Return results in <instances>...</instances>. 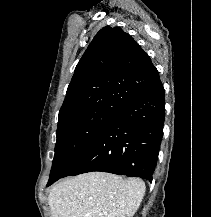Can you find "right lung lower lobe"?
I'll return each instance as SVG.
<instances>
[{
    "instance_id": "obj_1",
    "label": "right lung lower lobe",
    "mask_w": 211,
    "mask_h": 217,
    "mask_svg": "<svg viewBox=\"0 0 211 217\" xmlns=\"http://www.w3.org/2000/svg\"><path fill=\"white\" fill-rule=\"evenodd\" d=\"M164 94L159 81L128 101L60 178L102 171L152 181L163 135ZM60 178L49 180L47 186Z\"/></svg>"
}]
</instances>
